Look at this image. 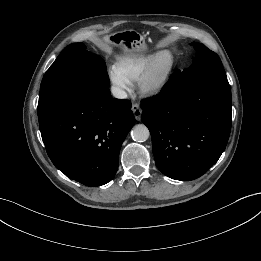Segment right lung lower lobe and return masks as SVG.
I'll return each instance as SVG.
<instances>
[{"label":"right lung lower lobe","instance_id":"right-lung-lower-lobe-1","mask_svg":"<svg viewBox=\"0 0 261 261\" xmlns=\"http://www.w3.org/2000/svg\"><path fill=\"white\" fill-rule=\"evenodd\" d=\"M40 132L53 164L87 186L108 183L135 118L128 100L111 98L109 89H82L38 115Z\"/></svg>","mask_w":261,"mask_h":261}]
</instances>
